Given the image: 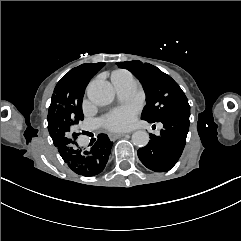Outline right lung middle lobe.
Masks as SVG:
<instances>
[{"mask_svg":"<svg viewBox=\"0 0 241 241\" xmlns=\"http://www.w3.org/2000/svg\"><path fill=\"white\" fill-rule=\"evenodd\" d=\"M105 63H86L70 70L56 85L48 111V129L59 138V145L76 142L75 129L83 120L82 100L90 79Z\"/></svg>","mask_w":241,"mask_h":241,"instance_id":"dd1d6c3e","label":"right lung middle lobe"}]
</instances>
